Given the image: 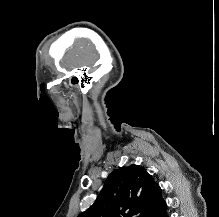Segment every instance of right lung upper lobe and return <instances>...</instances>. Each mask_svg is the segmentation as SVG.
I'll use <instances>...</instances> for the list:
<instances>
[{
  "label": "right lung upper lobe",
  "instance_id": "obj_1",
  "mask_svg": "<svg viewBox=\"0 0 219 217\" xmlns=\"http://www.w3.org/2000/svg\"><path fill=\"white\" fill-rule=\"evenodd\" d=\"M166 207L152 176L132 164L115 169L94 204L78 217H159Z\"/></svg>",
  "mask_w": 219,
  "mask_h": 217
}]
</instances>
